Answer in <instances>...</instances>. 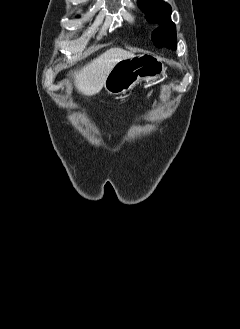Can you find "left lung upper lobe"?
Instances as JSON below:
<instances>
[{
    "instance_id": "5c2ea615",
    "label": "left lung upper lobe",
    "mask_w": 240,
    "mask_h": 329,
    "mask_svg": "<svg viewBox=\"0 0 240 329\" xmlns=\"http://www.w3.org/2000/svg\"><path fill=\"white\" fill-rule=\"evenodd\" d=\"M138 5L149 22L160 24L152 34L154 44L176 49V26L171 21L170 5L162 0H139Z\"/></svg>"
}]
</instances>
